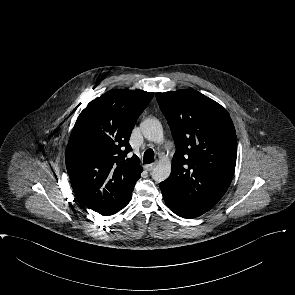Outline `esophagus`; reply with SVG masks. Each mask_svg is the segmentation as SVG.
Listing matches in <instances>:
<instances>
[{"mask_svg": "<svg viewBox=\"0 0 295 295\" xmlns=\"http://www.w3.org/2000/svg\"><path fill=\"white\" fill-rule=\"evenodd\" d=\"M156 166V163H151V164H147L144 166V168L147 170V171H152Z\"/></svg>", "mask_w": 295, "mask_h": 295, "instance_id": "1", "label": "esophagus"}]
</instances>
